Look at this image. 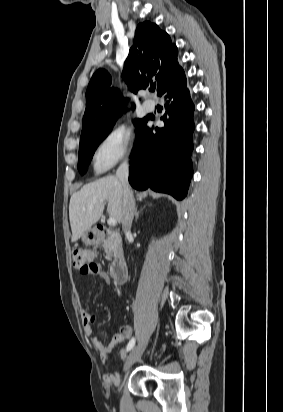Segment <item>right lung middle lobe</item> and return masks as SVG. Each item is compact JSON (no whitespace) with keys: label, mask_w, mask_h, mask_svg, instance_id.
I'll list each match as a JSON object with an SVG mask.
<instances>
[{"label":"right lung middle lobe","mask_w":283,"mask_h":412,"mask_svg":"<svg viewBox=\"0 0 283 412\" xmlns=\"http://www.w3.org/2000/svg\"><path fill=\"white\" fill-rule=\"evenodd\" d=\"M144 120L145 117L143 119H137L134 121L137 129L136 132L142 126ZM111 130L112 128L103 132L88 135L80 139L78 170L81 174H84L86 172L96 148L107 137Z\"/></svg>","instance_id":"dd1d6c3e"}]
</instances>
